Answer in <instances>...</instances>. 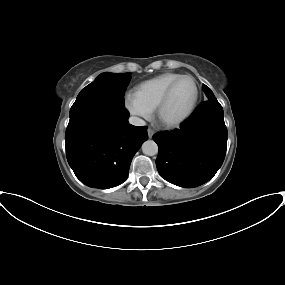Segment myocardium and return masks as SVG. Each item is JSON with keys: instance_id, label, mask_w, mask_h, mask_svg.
I'll use <instances>...</instances> for the list:
<instances>
[{"instance_id": "myocardium-1", "label": "myocardium", "mask_w": 285, "mask_h": 285, "mask_svg": "<svg viewBox=\"0 0 285 285\" xmlns=\"http://www.w3.org/2000/svg\"><path fill=\"white\" fill-rule=\"evenodd\" d=\"M184 78H188L190 79L195 87V96H194V100L190 106V108L188 109V111L181 116L180 118L176 119V120H165L163 118V110L166 106V104L169 101V98L175 88V86L178 84V82ZM199 97H200V89H199V85L197 80L189 74H183L180 75L179 77H177L175 80H173L169 86L166 88L165 92L163 93L162 97L160 98L155 111H156V119L157 122L160 126H162L163 128L166 129H174V128H178L180 127L182 124H184L195 112L197 106H198V102H199Z\"/></svg>"}]
</instances>
